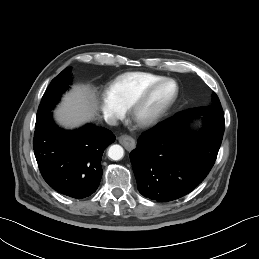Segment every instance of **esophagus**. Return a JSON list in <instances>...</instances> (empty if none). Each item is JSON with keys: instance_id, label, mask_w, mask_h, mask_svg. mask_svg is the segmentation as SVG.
<instances>
[{"instance_id": "1", "label": "esophagus", "mask_w": 259, "mask_h": 259, "mask_svg": "<svg viewBox=\"0 0 259 259\" xmlns=\"http://www.w3.org/2000/svg\"><path fill=\"white\" fill-rule=\"evenodd\" d=\"M120 144H122L128 151L134 149L136 143L135 140L129 135H121L118 138Z\"/></svg>"}]
</instances>
